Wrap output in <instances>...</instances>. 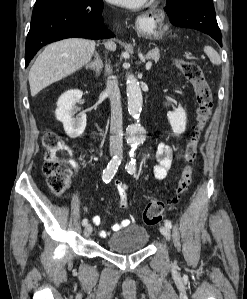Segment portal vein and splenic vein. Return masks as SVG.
<instances>
[{"label": "portal vein and splenic vein", "instance_id": "obj_1", "mask_svg": "<svg viewBox=\"0 0 247 299\" xmlns=\"http://www.w3.org/2000/svg\"><path fill=\"white\" fill-rule=\"evenodd\" d=\"M151 66H152V62L149 61V62L146 63V69L147 70H149L151 68Z\"/></svg>", "mask_w": 247, "mask_h": 299}]
</instances>
